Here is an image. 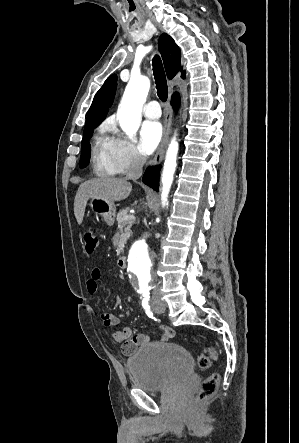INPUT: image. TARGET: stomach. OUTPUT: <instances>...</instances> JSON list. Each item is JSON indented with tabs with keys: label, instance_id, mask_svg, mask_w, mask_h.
<instances>
[{
	"label": "stomach",
	"instance_id": "obj_1",
	"mask_svg": "<svg viewBox=\"0 0 299 443\" xmlns=\"http://www.w3.org/2000/svg\"><path fill=\"white\" fill-rule=\"evenodd\" d=\"M91 211L101 216L107 225L112 226L115 221L116 206L114 202L103 198H92L90 201Z\"/></svg>",
	"mask_w": 299,
	"mask_h": 443
}]
</instances>
